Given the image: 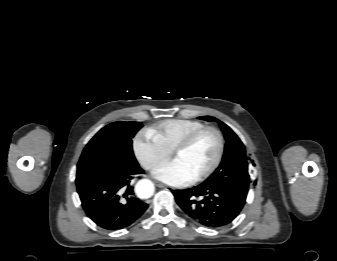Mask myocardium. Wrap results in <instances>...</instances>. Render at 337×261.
Instances as JSON below:
<instances>
[{
  "instance_id": "f54148a6",
  "label": "myocardium",
  "mask_w": 337,
  "mask_h": 261,
  "mask_svg": "<svg viewBox=\"0 0 337 261\" xmlns=\"http://www.w3.org/2000/svg\"><path fill=\"white\" fill-rule=\"evenodd\" d=\"M205 132H212L216 135L218 139V150L211 166L207 170L193 178V182L195 183L201 182L210 177L221 164L225 150V139L222 132L214 126H203L189 133L171 152V155L174 158L176 155L187 150L195 142V140Z\"/></svg>"
}]
</instances>
